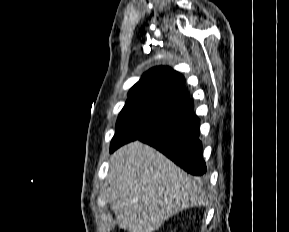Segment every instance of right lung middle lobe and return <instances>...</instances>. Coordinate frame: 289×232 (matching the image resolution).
Masks as SVG:
<instances>
[{
	"label": "right lung middle lobe",
	"mask_w": 289,
	"mask_h": 232,
	"mask_svg": "<svg viewBox=\"0 0 289 232\" xmlns=\"http://www.w3.org/2000/svg\"><path fill=\"white\" fill-rule=\"evenodd\" d=\"M184 113L178 110L141 101H127L119 114L110 152L121 145L139 139Z\"/></svg>",
	"instance_id": "obj_1"
}]
</instances>
